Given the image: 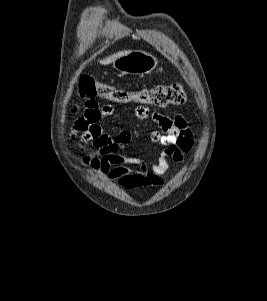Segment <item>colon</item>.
<instances>
[{
  "label": "colon",
  "mask_w": 267,
  "mask_h": 301,
  "mask_svg": "<svg viewBox=\"0 0 267 301\" xmlns=\"http://www.w3.org/2000/svg\"><path fill=\"white\" fill-rule=\"evenodd\" d=\"M79 95L82 98H103L118 103L137 102L156 108L181 105L186 100V93L181 85H158L138 91H128L96 81L90 76L79 80Z\"/></svg>",
  "instance_id": "obj_1"
}]
</instances>
